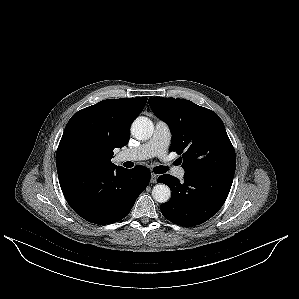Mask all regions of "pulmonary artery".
<instances>
[{
  "mask_svg": "<svg viewBox=\"0 0 299 299\" xmlns=\"http://www.w3.org/2000/svg\"><path fill=\"white\" fill-rule=\"evenodd\" d=\"M171 133L168 124L162 120L155 122L154 131L151 138L139 145L138 147L127 149L121 153V160H145L152 157L164 159L170 143ZM172 173L182 179L185 175V170L178 166H169Z\"/></svg>",
  "mask_w": 299,
  "mask_h": 299,
  "instance_id": "e3ab8cb5",
  "label": "pulmonary artery"
}]
</instances>
